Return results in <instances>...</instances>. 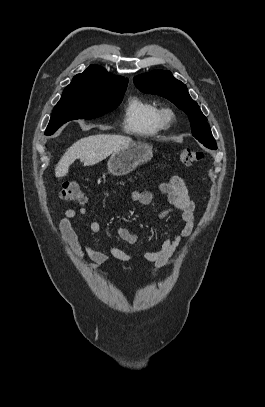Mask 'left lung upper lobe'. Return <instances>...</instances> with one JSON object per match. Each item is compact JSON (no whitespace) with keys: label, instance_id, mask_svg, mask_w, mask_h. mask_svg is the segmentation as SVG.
Listing matches in <instances>:
<instances>
[{"label":"left lung upper lobe","instance_id":"1","mask_svg":"<svg viewBox=\"0 0 265 407\" xmlns=\"http://www.w3.org/2000/svg\"><path fill=\"white\" fill-rule=\"evenodd\" d=\"M134 84L145 93L169 99L189 116L193 136L210 149H217L207 118L192 100L185 84L175 79L170 71H153L134 78Z\"/></svg>","mask_w":265,"mask_h":407}]
</instances>
